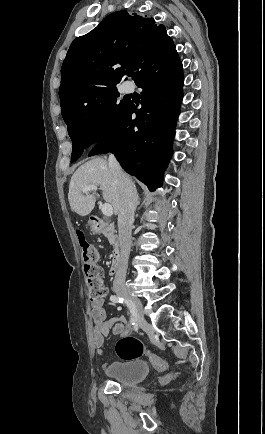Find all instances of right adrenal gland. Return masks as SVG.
<instances>
[{
	"label": "right adrenal gland",
	"instance_id": "obj_1",
	"mask_svg": "<svg viewBox=\"0 0 265 434\" xmlns=\"http://www.w3.org/2000/svg\"><path fill=\"white\" fill-rule=\"evenodd\" d=\"M138 204H140V198H139V202H138Z\"/></svg>",
	"mask_w": 265,
	"mask_h": 434
}]
</instances>
